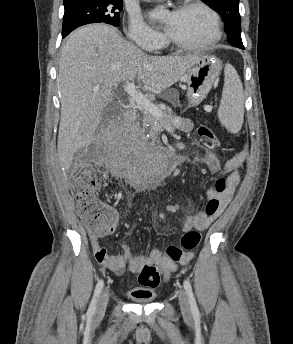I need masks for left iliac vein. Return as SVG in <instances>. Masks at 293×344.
<instances>
[{"instance_id": "1", "label": "left iliac vein", "mask_w": 293, "mask_h": 344, "mask_svg": "<svg viewBox=\"0 0 293 344\" xmlns=\"http://www.w3.org/2000/svg\"><path fill=\"white\" fill-rule=\"evenodd\" d=\"M181 311L185 317H191V307L188 295L184 289L179 290L178 294Z\"/></svg>"}]
</instances>
